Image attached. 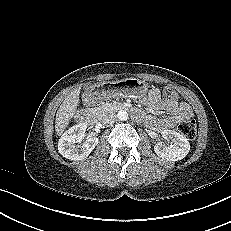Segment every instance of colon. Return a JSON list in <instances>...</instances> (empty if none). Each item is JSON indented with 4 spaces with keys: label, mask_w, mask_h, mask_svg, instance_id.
<instances>
[{
    "label": "colon",
    "mask_w": 231,
    "mask_h": 231,
    "mask_svg": "<svg viewBox=\"0 0 231 231\" xmlns=\"http://www.w3.org/2000/svg\"><path fill=\"white\" fill-rule=\"evenodd\" d=\"M163 94L167 99H177V93L171 87H166L163 90ZM178 129L180 133L187 139H193L196 136V122L191 118L183 120L179 124Z\"/></svg>",
    "instance_id": "5ec220e1"
}]
</instances>
